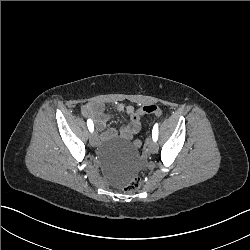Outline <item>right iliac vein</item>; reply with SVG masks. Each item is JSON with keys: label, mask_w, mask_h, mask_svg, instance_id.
<instances>
[{"label": "right iliac vein", "mask_w": 250, "mask_h": 250, "mask_svg": "<svg viewBox=\"0 0 250 250\" xmlns=\"http://www.w3.org/2000/svg\"><path fill=\"white\" fill-rule=\"evenodd\" d=\"M90 143L92 147H96L98 145V136L96 133H92L90 136Z\"/></svg>", "instance_id": "right-iliac-vein-1"}]
</instances>
